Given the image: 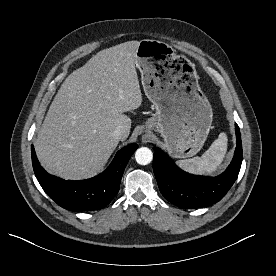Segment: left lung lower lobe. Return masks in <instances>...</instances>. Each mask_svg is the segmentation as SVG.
Listing matches in <instances>:
<instances>
[{"label": "left lung lower lobe", "instance_id": "left-lung-lower-lobe-1", "mask_svg": "<svg viewBox=\"0 0 276 276\" xmlns=\"http://www.w3.org/2000/svg\"><path fill=\"white\" fill-rule=\"evenodd\" d=\"M236 149L228 168L219 176L204 177L180 170L168 156L156 149L153 170L162 195L181 208H200L220 201L238 177L242 163L240 130L235 124Z\"/></svg>", "mask_w": 276, "mask_h": 276}]
</instances>
